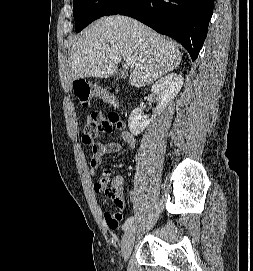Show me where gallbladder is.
<instances>
[{
    "mask_svg": "<svg viewBox=\"0 0 253 271\" xmlns=\"http://www.w3.org/2000/svg\"><path fill=\"white\" fill-rule=\"evenodd\" d=\"M127 76H128V72L124 69L119 70L116 74L117 79H126Z\"/></svg>",
    "mask_w": 253,
    "mask_h": 271,
    "instance_id": "bac80fb5",
    "label": "gallbladder"
}]
</instances>
